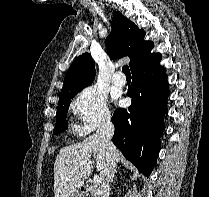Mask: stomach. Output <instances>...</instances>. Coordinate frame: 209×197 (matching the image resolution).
<instances>
[{
	"label": "stomach",
	"mask_w": 209,
	"mask_h": 197,
	"mask_svg": "<svg viewBox=\"0 0 209 197\" xmlns=\"http://www.w3.org/2000/svg\"><path fill=\"white\" fill-rule=\"evenodd\" d=\"M69 197H81V194L79 192H74Z\"/></svg>",
	"instance_id": "obj_1"
}]
</instances>
